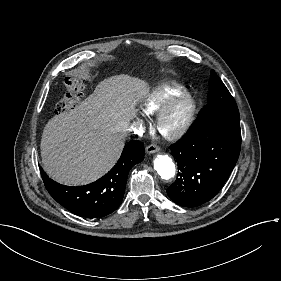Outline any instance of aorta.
Masks as SVG:
<instances>
[{
	"label": "aorta",
	"mask_w": 281,
	"mask_h": 281,
	"mask_svg": "<svg viewBox=\"0 0 281 281\" xmlns=\"http://www.w3.org/2000/svg\"><path fill=\"white\" fill-rule=\"evenodd\" d=\"M154 168L164 180L175 176V164L168 155H158L154 160Z\"/></svg>",
	"instance_id": "762f6f07"
}]
</instances>
